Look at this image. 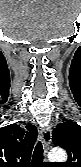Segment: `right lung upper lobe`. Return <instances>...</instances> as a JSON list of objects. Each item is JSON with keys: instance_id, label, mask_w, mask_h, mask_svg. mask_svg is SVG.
Here are the masks:
<instances>
[{"instance_id": "1", "label": "right lung upper lobe", "mask_w": 81, "mask_h": 167, "mask_svg": "<svg viewBox=\"0 0 81 167\" xmlns=\"http://www.w3.org/2000/svg\"><path fill=\"white\" fill-rule=\"evenodd\" d=\"M37 129L16 124L0 129V167H31L30 156L37 139Z\"/></svg>"}]
</instances>
